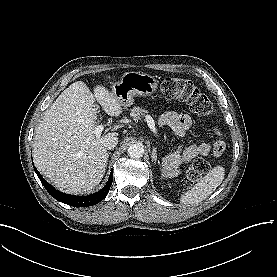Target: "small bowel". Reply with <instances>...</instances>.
<instances>
[{"instance_id":"small-bowel-1","label":"small bowel","mask_w":277,"mask_h":277,"mask_svg":"<svg viewBox=\"0 0 277 277\" xmlns=\"http://www.w3.org/2000/svg\"><path fill=\"white\" fill-rule=\"evenodd\" d=\"M159 124L161 126L169 127L178 137H184L186 131L192 125V120L187 114L177 111H168L159 117ZM213 134L217 137L219 131H215ZM212 152H222L220 141H209L198 146L180 148L174 158H180L184 163H189L198 156H207Z\"/></svg>"}]
</instances>
